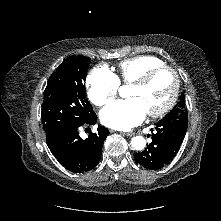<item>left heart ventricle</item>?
<instances>
[{
    "label": "left heart ventricle",
    "mask_w": 221,
    "mask_h": 221,
    "mask_svg": "<svg viewBox=\"0 0 221 221\" xmlns=\"http://www.w3.org/2000/svg\"><path fill=\"white\" fill-rule=\"evenodd\" d=\"M173 86V75L168 71H163L143 87L131 86L129 95L131 98L140 99L148 113L165 105L172 93Z\"/></svg>",
    "instance_id": "b2bd125f"
}]
</instances>
